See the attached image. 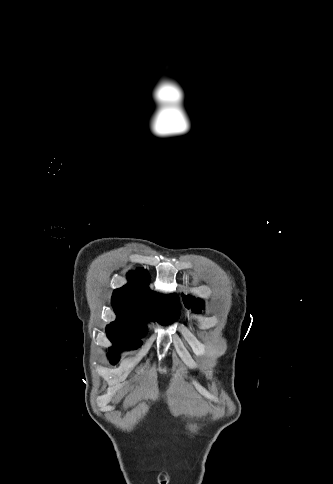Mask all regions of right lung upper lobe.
I'll return each mask as SVG.
<instances>
[{
	"label": "right lung upper lobe",
	"mask_w": 333,
	"mask_h": 484,
	"mask_svg": "<svg viewBox=\"0 0 333 484\" xmlns=\"http://www.w3.org/2000/svg\"><path fill=\"white\" fill-rule=\"evenodd\" d=\"M129 283L114 291L112 306L117 314V319L112 323L129 324L146 330V322L158 320L160 322L172 321L177 318L175 307L178 305L176 295L158 298L150 291L149 274L147 271L138 269L128 273Z\"/></svg>",
	"instance_id": "right-lung-upper-lobe-1"
}]
</instances>
